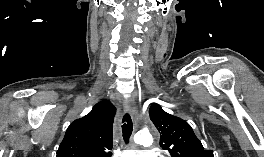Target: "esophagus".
Here are the masks:
<instances>
[{
  "label": "esophagus",
  "mask_w": 264,
  "mask_h": 157,
  "mask_svg": "<svg viewBox=\"0 0 264 157\" xmlns=\"http://www.w3.org/2000/svg\"><path fill=\"white\" fill-rule=\"evenodd\" d=\"M125 111L130 113L131 115H135L136 113V107L133 102V100H128V102L125 104Z\"/></svg>",
  "instance_id": "1"
}]
</instances>
